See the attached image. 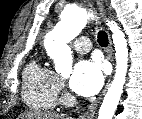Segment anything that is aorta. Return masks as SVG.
Returning a JSON list of instances; mask_svg holds the SVG:
<instances>
[{"label": "aorta", "instance_id": "obj_1", "mask_svg": "<svg viewBox=\"0 0 142 119\" xmlns=\"http://www.w3.org/2000/svg\"><path fill=\"white\" fill-rule=\"evenodd\" d=\"M91 14L84 8L66 7L61 13V20L44 39L47 55L54 60L55 69L62 75L72 72V53L68 43L85 27ZM112 32L115 47L116 72L114 79L99 109L98 119H113L119 104L128 69L127 40L121 28L114 21H107Z\"/></svg>", "mask_w": 142, "mask_h": 119}]
</instances>
